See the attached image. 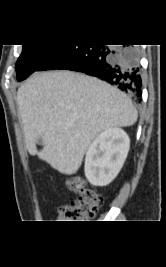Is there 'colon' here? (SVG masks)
Instances as JSON below:
<instances>
[{"mask_svg": "<svg viewBox=\"0 0 166 267\" xmlns=\"http://www.w3.org/2000/svg\"><path fill=\"white\" fill-rule=\"evenodd\" d=\"M71 186L79 196L77 199L59 207L61 223L82 222L93 218L98 208L103 204V197L84 181L73 180Z\"/></svg>", "mask_w": 166, "mask_h": 267, "instance_id": "colon-1", "label": "colon"}]
</instances>
